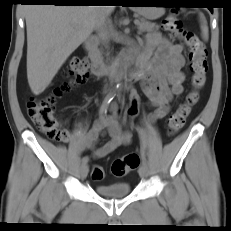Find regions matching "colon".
<instances>
[{
  "label": "colon",
  "instance_id": "colon-1",
  "mask_svg": "<svg viewBox=\"0 0 231 231\" xmlns=\"http://www.w3.org/2000/svg\"><path fill=\"white\" fill-rule=\"evenodd\" d=\"M179 11L172 9L163 20L162 27L173 38L180 39L188 49L190 70L192 73V90L185 101L179 105L168 120V131L171 135L178 133L184 126L192 107L199 99V91L206 83L208 71L207 49L199 37L192 31L184 29L178 17ZM88 61L84 58H73L67 67L69 82L56 89L55 92L42 99L32 98L27 104L28 115L37 128L49 139L57 142H67L70 132L61 126L55 117V100L62 92L68 90L72 85L86 82L89 77ZM139 164V157L135 153H129L117 158L111 165V173L116 177H123L129 171L135 169ZM104 170L101 166H94L91 171L93 180H102Z\"/></svg>",
  "mask_w": 231,
  "mask_h": 231
}]
</instances>
